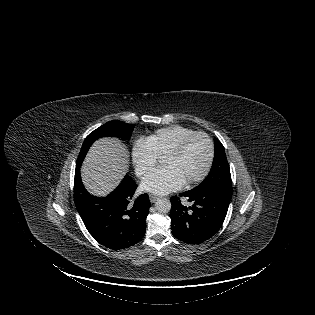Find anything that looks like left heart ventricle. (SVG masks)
<instances>
[{"instance_id":"obj_1","label":"left heart ventricle","mask_w":315,"mask_h":315,"mask_svg":"<svg viewBox=\"0 0 315 315\" xmlns=\"http://www.w3.org/2000/svg\"><path fill=\"white\" fill-rule=\"evenodd\" d=\"M208 158V143L204 137H196L185 147L184 151L174 157H166L163 163L173 168L187 181L201 173Z\"/></svg>"}]
</instances>
